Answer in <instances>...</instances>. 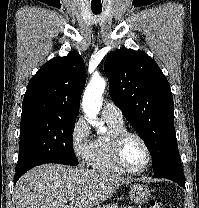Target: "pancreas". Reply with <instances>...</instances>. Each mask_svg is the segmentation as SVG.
I'll return each instance as SVG.
<instances>
[{
  "mask_svg": "<svg viewBox=\"0 0 199 208\" xmlns=\"http://www.w3.org/2000/svg\"><path fill=\"white\" fill-rule=\"evenodd\" d=\"M100 208V207H99ZM102 208H120L119 205L116 203V204H109V205H106V206H103Z\"/></svg>",
  "mask_w": 199,
  "mask_h": 208,
  "instance_id": "1",
  "label": "pancreas"
}]
</instances>
